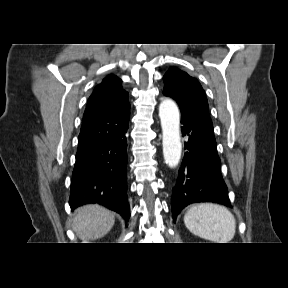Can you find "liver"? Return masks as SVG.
Listing matches in <instances>:
<instances>
[{"instance_id": "1", "label": "liver", "mask_w": 288, "mask_h": 288, "mask_svg": "<svg viewBox=\"0 0 288 288\" xmlns=\"http://www.w3.org/2000/svg\"><path fill=\"white\" fill-rule=\"evenodd\" d=\"M115 223V214L100 205H85L74 212L72 228L82 241L105 236Z\"/></svg>"}]
</instances>
